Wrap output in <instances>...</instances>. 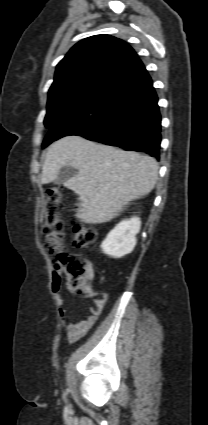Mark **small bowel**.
<instances>
[{"label":"small bowel","instance_id":"obj_1","mask_svg":"<svg viewBox=\"0 0 208 425\" xmlns=\"http://www.w3.org/2000/svg\"><path fill=\"white\" fill-rule=\"evenodd\" d=\"M92 276V270L89 268L88 279ZM60 277L54 273L53 275V291L55 300L58 306V315L63 328L67 332L70 342H76L84 337L96 324V321L102 313L107 301L108 294L105 292H97L90 285H85V296L92 299L94 307L90 309L89 315L79 322H69L67 320V311L64 307L65 301L62 297L60 290Z\"/></svg>","mask_w":208,"mask_h":425}]
</instances>
